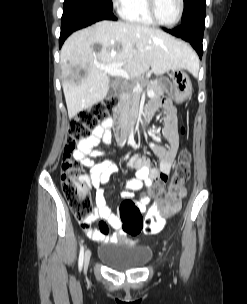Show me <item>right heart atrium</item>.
Returning a JSON list of instances; mask_svg holds the SVG:
<instances>
[{
	"label": "right heart atrium",
	"instance_id": "d8ad5b80",
	"mask_svg": "<svg viewBox=\"0 0 247 304\" xmlns=\"http://www.w3.org/2000/svg\"><path fill=\"white\" fill-rule=\"evenodd\" d=\"M131 0H112L114 7L120 11H123L126 8Z\"/></svg>",
	"mask_w": 247,
	"mask_h": 304
}]
</instances>
